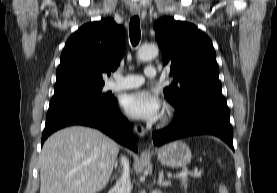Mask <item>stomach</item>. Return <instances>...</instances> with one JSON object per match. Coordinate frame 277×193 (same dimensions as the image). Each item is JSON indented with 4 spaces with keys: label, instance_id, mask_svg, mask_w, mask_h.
Returning a JSON list of instances; mask_svg holds the SVG:
<instances>
[{
    "label": "stomach",
    "instance_id": "0dacf381",
    "mask_svg": "<svg viewBox=\"0 0 277 193\" xmlns=\"http://www.w3.org/2000/svg\"><path fill=\"white\" fill-rule=\"evenodd\" d=\"M191 150L182 141H173L158 150V160L169 167H182L191 161Z\"/></svg>",
    "mask_w": 277,
    "mask_h": 193
}]
</instances>
